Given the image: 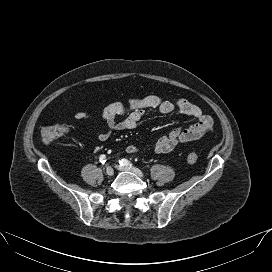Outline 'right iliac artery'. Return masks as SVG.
I'll use <instances>...</instances> for the list:
<instances>
[{
    "label": "right iliac artery",
    "instance_id": "82829eb1",
    "mask_svg": "<svg viewBox=\"0 0 272 272\" xmlns=\"http://www.w3.org/2000/svg\"><path fill=\"white\" fill-rule=\"evenodd\" d=\"M99 161H100L102 164H104V163L106 162V156H105V155H101V156L99 157Z\"/></svg>",
    "mask_w": 272,
    "mask_h": 272
}]
</instances>
